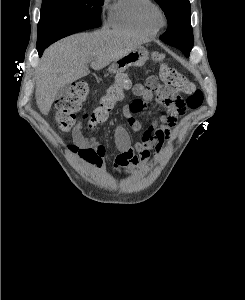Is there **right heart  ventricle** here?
<instances>
[{
  "mask_svg": "<svg viewBox=\"0 0 245 300\" xmlns=\"http://www.w3.org/2000/svg\"><path fill=\"white\" fill-rule=\"evenodd\" d=\"M150 5H153L151 0H114L109 24L119 31L152 36L157 30L147 26L143 20V12Z\"/></svg>",
  "mask_w": 245,
  "mask_h": 300,
  "instance_id": "e07e8e85",
  "label": "right heart ventricle"
}]
</instances>
